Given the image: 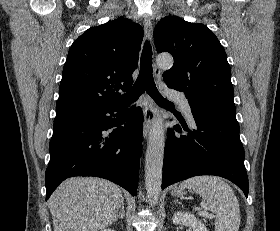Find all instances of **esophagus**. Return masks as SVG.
Here are the masks:
<instances>
[{"instance_id": "obj_1", "label": "esophagus", "mask_w": 280, "mask_h": 231, "mask_svg": "<svg viewBox=\"0 0 280 231\" xmlns=\"http://www.w3.org/2000/svg\"><path fill=\"white\" fill-rule=\"evenodd\" d=\"M143 25H144V30H145L147 40L151 44L153 26H152V17L150 15H148V14L144 15ZM154 76L157 79H159L161 76V70L156 65H154ZM154 118H155V103L149 97V95H146L145 100H144V122H143V137L144 138H147Z\"/></svg>"}]
</instances>
